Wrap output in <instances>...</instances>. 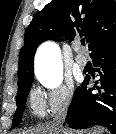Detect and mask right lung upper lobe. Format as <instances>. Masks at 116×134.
Here are the masks:
<instances>
[{
  "mask_svg": "<svg viewBox=\"0 0 116 134\" xmlns=\"http://www.w3.org/2000/svg\"><path fill=\"white\" fill-rule=\"evenodd\" d=\"M84 35L90 51L116 36L114 0H52L38 12L25 31L19 54L18 93L33 81L37 47L46 40L72 41Z\"/></svg>",
  "mask_w": 116,
  "mask_h": 134,
  "instance_id": "1",
  "label": "right lung upper lobe"
}]
</instances>
